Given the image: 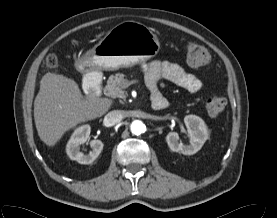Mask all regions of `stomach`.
<instances>
[{"instance_id":"obj_1","label":"stomach","mask_w":277,"mask_h":218,"mask_svg":"<svg viewBox=\"0 0 277 218\" xmlns=\"http://www.w3.org/2000/svg\"><path fill=\"white\" fill-rule=\"evenodd\" d=\"M159 50V40L150 28L136 21H124L87 51L77 65L84 71H113L155 57Z\"/></svg>"}]
</instances>
